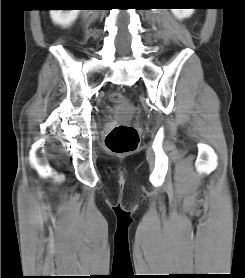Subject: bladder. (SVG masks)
<instances>
[{"instance_id": "1", "label": "bladder", "mask_w": 245, "mask_h": 278, "mask_svg": "<svg viewBox=\"0 0 245 278\" xmlns=\"http://www.w3.org/2000/svg\"><path fill=\"white\" fill-rule=\"evenodd\" d=\"M133 114V110H122V109H115L112 113L113 116L121 117V118H128L131 117Z\"/></svg>"}]
</instances>
